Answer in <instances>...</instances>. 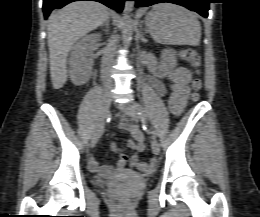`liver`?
I'll list each match as a JSON object with an SVG mask.
<instances>
[{
  "label": "liver",
  "mask_w": 260,
  "mask_h": 217,
  "mask_svg": "<svg viewBox=\"0 0 260 217\" xmlns=\"http://www.w3.org/2000/svg\"><path fill=\"white\" fill-rule=\"evenodd\" d=\"M108 9L94 1H77L51 13L48 19L50 77L55 89L67 80V57L74 43L88 32L103 25Z\"/></svg>",
  "instance_id": "6515ba94"
}]
</instances>
